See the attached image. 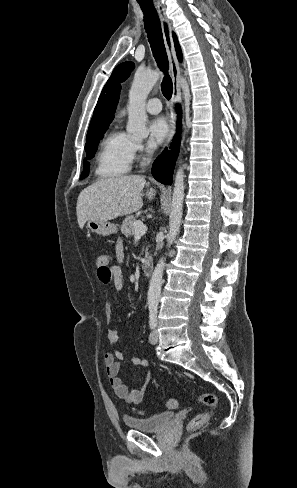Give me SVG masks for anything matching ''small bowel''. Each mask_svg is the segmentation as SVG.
Returning <instances> with one entry per match:
<instances>
[{"label":"small bowel","instance_id":"obj_1","mask_svg":"<svg viewBox=\"0 0 297 488\" xmlns=\"http://www.w3.org/2000/svg\"><path fill=\"white\" fill-rule=\"evenodd\" d=\"M124 251L123 244L121 240H118L115 245V260L120 263L123 260ZM112 258L109 256L108 269L105 273H101L100 270L97 271V276L99 281L103 285H112L116 290L120 291L124 288V279L122 271L119 265L112 264L110 262ZM112 316L111 303L108 301L106 303V317L110 321ZM108 342L112 347V352L104 354L103 362L106 370V374L109 378V384L113 389L114 393L120 399L125 400L130 404H138L142 401L144 394L151 383L152 373L148 372L146 374L144 383L140 389L130 391L128 387L123 383L122 378L119 376L120 372V361L123 359V354L117 349V344L119 341V336L114 328H108L107 330ZM133 365L140 367H148L149 360L146 357H133L131 359Z\"/></svg>","mask_w":297,"mask_h":488}]
</instances>
